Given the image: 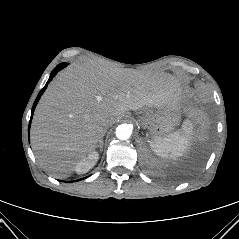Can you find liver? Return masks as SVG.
<instances>
[{
  "label": "liver",
  "mask_w": 239,
  "mask_h": 239,
  "mask_svg": "<svg viewBox=\"0 0 239 239\" xmlns=\"http://www.w3.org/2000/svg\"><path fill=\"white\" fill-rule=\"evenodd\" d=\"M186 90L173 76L150 71L76 65L60 73L41 97L32 120L31 142L40 166L66 178L92 153L108 118L129 110L181 107L192 115Z\"/></svg>",
  "instance_id": "liver-1"
}]
</instances>
